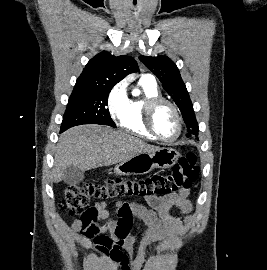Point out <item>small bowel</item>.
<instances>
[{
  "instance_id": "obj_1",
  "label": "small bowel",
  "mask_w": 267,
  "mask_h": 270,
  "mask_svg": "<svg viewBox=\"0 0 267 270\" xmlns=\"http://www.w3.org/2000/svg\"><path fill=\"white\" fill-rule=\"evenodd\" d=\"M190 190L149 200L153 209L132 204L117 202L115 204L118 221H108L109 212L105 203H96L91 210L79 219L74 220L72 229L87 237L99 239L102 247L109 249V260L112 266L118 256L126 258L127 270H143L146 265V249L154 243L175 238L180 235L191 220L192 203L189 200ZM177 209L185 215L176 217L172 210ZM138 219L145 229L129 233L133 220ZM103 221L104 223L100 224ZM139 246L135 251L137 240ZM124 249L129 258L122 252Z\"/></svg>"
}]
</instances>
